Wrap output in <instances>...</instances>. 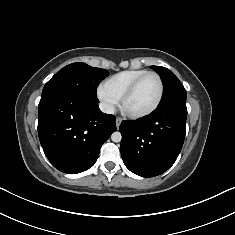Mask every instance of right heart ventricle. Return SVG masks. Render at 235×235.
<instances>
[{
  "instance_id": "1",
  "label": "right heart ventricle",
  "mask_w": 235,
  "mask_h": 235,
  "mask_svg": "<svg viewBox=\"0 0 235 235\" xmlns=\"http://www.w3.org/2000/svg\"><path fill=\"white\" fill-rule=\"evenodd\" d=\"M146 72L144 69L124 70L107 78L103 86L120 100L131 83Z\"/></svg>"
}]
</instances>
